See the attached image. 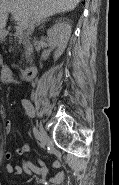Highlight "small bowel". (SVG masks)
<instances>
[{
  "label": "small bowel",
  "instance_id": "1",
  "mask_svg": "<svg viewBox=\"0 0 119 185\" xmlns=\"http://www.w3.org/2000/svg\"><path fill=\"white\" fill-rule=\"evenodd\" d=\"M0 81L4 84L16 83L13 72L7 65H2L0 70ZM12 131V122L10 120H5L3 123V132L8 135ZM16 153L22 156L21 165H12L11 158L12 154L10 152L4 153L5 159V169L9 174L19 175L21 173H26L27 175H40L42 178L50 173L51 169H57L61 166L60 161H56L52 167L46 166L41 160H37V164L31 163L25 156L30 154V148L27 144L20 145L16 148ZM65 180L64 171L60 170L54 174L50 182L52 185H60Z\"/></svg>",
  "mask_w": 119,
  "mask_h": 185
}]
</instances>
